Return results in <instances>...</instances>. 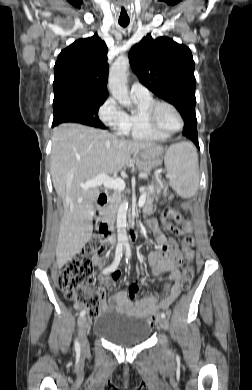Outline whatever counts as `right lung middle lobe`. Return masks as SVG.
Wrapping results in <instances>:
<instances>
[{
  "label": "right lung middle lobe",
  "mask_w": 252,
  "mask_h": 390,
  "mask_svg": "<svg viewBox=\"0 0 252 390\" xmlns=\"http://www.w3.org/2000/svg\"><path fill=\"white\" fill-rule=\"evenodd\" d=\"M104 101L105 99L69 98L53 102L54 119L52 127L64 122H76L106 129L98 117L99 107Z\"/></svg>",
  "instance_id": "right-lung-middle-lobe-1"
}]
</instances>
